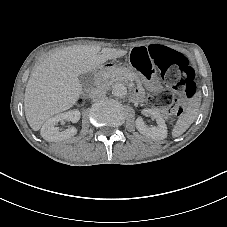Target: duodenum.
I'll list each match as a JSON object with an SVG mask.
<instances>
[{
  "instance_id": "1",
  "label": "duodenum",
  "mask_w": 227,
  "mask_h": 227,
  "mask_svg": "<svg viewBox=\"0 0 227 227\" xmlns=\"http://www.w3.org/2000/svg\"><path fill=\"white\" fill-rule=\"evenodd\" d=\"M107 68L108 69L113 68V65H108Z\"/></svg>"
}]
</instances>
